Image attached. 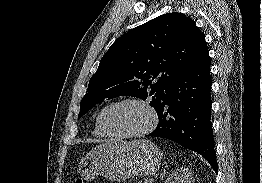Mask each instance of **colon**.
Listing matches in <instances>:
<instances>
[{"label": "colon", "instance_id": "1", "mask_svg": "<svg viewBox=\"0 0 262 183\" xmlns=\"http://www.w3.org/2000/svg\"><path fill=\"white\" fill-rule=\"evenodd\" d=\"M76 183H83L81 179H78Z\"/></svg>", "mask_w": 262, "mask_h": 183}]
</instances>
